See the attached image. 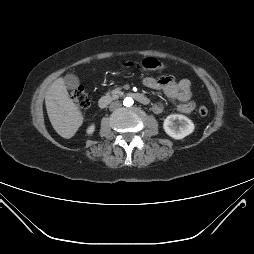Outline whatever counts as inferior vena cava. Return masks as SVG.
<instances>
[{
    "label": "inferior vena cava",
    "mask_w": 254,
    "mask_h": 254,
    "mask_svg": "<svg viewBox=\"0 0 254 254\" xmlns=\"http://www.w3.org/2000/svg\"><path fill=\"white\" fill-rule=\"evenodd\" d=\"M122 106V104L119 101H114L109 105V109L111 111L117 110Z\"/></svg>",
    "instance_id": "602c4592"
}]
</instances>
